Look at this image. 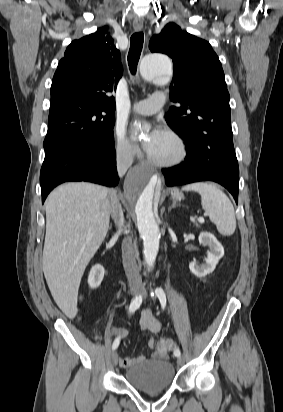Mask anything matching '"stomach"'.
I'll return each instance as SVG.
<instances>
[{
	"label": "stomach",
	"mask_w": 283,
	"mask_h": 412,
	"mask_svg": "<svg viewBox=\"0 0 283 412\" xmlns=\"http://www.w3.org/2000/svg\"><path fill=\"white\" fill-rule=\"evenodd\" d=\"M171 197H172L173 200L179 201L183 198V194L181 192H179L177 189H173L171 191Z\"/></svg>",
	"instance_id": "1"
}]
</instances>
